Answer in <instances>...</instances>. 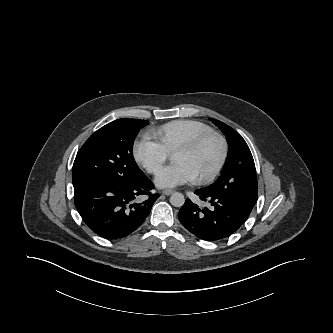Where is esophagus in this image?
Returning <instances> with one entry per match:
<instances>
[{"label": "esophagus", "instance_id": "esophagus-1", "mask_svg": "<svg viewBox=\"0 0 333 333\" xmlns=\"http://www.w3.org/2000/svg\"><path fill=\"white\" fill-rule=\"evenodd\" d=\"M162 193L164 194V195H170V194H172L173 193V190H171V189H166V190H163L162 191Z\"/></svg>", "mask_w": 333, "mask_h": 333}]
</instances>
